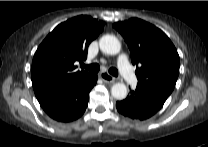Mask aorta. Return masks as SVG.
I'll use <instances>...</instances> for the list:
<instances>
[{
	"label": "aorta",
	"mask_w": 208,
	"mask_h": 147,
	"mask_svg": "<svg viewBox=\"0 0 208 147\" xmlns=\"http://www.w3.org/2000/svg\"><path fill=\"white\" fill-rule=\"evenodd\" d=\"M100 50L108 55H116L121 50L120 41L114 35H104L99 40ZM112 96L117 100H123L127 96V87L124 83H116L111 88Z\"/></svg>",
	"instance_id": "762f6f07"
}]
</instances>
